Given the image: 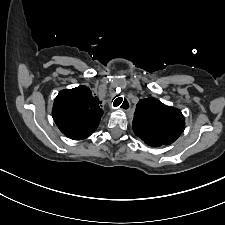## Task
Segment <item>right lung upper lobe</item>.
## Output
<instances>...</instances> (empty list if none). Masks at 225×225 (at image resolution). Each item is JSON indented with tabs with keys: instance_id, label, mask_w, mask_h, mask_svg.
I'll return each instance as SVG.
<instances>
[{
	"instance_id": "obj_1",
	"label": "right lung upper lobe",
	"mask_w": 225,
	"mask_h": 225,
	"mask_svg": "<svg viewBox=\"0 0 225 225\" xmlns=\"http://www.w3.org/2000/svg\"><path fill=\"white\" fill-rule=\"evenodd\" d=\"M101 102L86 86L66 89L55 98L52 115L60 131L73 140L90 136L98 127Z\"/></svg>"
}]
</instances>
